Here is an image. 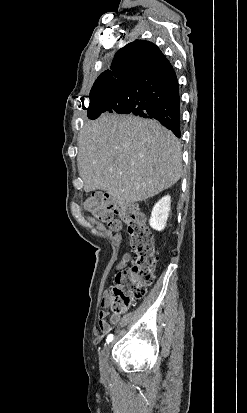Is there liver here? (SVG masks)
Wrapping results in <instances>:
<instances>
[{
	"instance_id": "6515ba94",
	"label": "liver",
	"mask_w": 247,
	"mask_h": 413,
	"mask_svg": "<svg viewBox=\"0 0 247 413\" xmlns=\"http://www.w3.org/2000/svg\"><path fill=\"white\" fill-rule=\"evenodd\" d=\"M78 172L85 192L106 190L116 202H137L177 182L181 146L157 120L105 112L87 120L78 140Z\"/></svg>"
}]
</instances>
